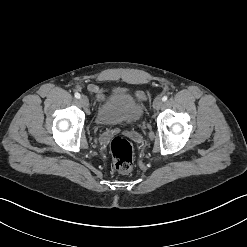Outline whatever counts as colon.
<instances>
[{"label":"colon","instance_id":"5ec220e1","mask_svg":"<svg viewBox=\"0 0 247 247\" xmlns=\"http://www.w3.org/2000/svg\"><path fill=\"white\" fill-rule=\"evenodd\" d=\"M115 168L122 173L129 172L133 167L134 149L131 143L121 136L114 137L109 144Z\"/></svg>","mask_w":247,"mask_h":247}]
</instances>
